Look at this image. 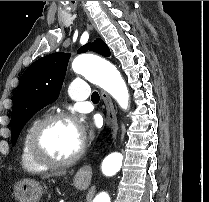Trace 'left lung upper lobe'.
I'll list each match as a JSON object with an SVG mask.
<instances>
[{
  "mask_svg": "<svg viewBox=\"0 0 209 202\" xmlns=\"http://www.w3.org/2000/svg\"><path fill=\"white\" fill-rule=\"evenodd\" d=\"M88 50L110 56L103 40L82 46L78 53ZM70 54L57 52L44 56L32 63L23 73L16 91L11 114V141L15 145L26 122L40 109L53 103L59 96L65 78Z\"/></svg>",
  "mask_w": 209,
  "mask_h": 202,
  "instance_id": "1",
  "label": "left lung upper lobe"
}]
</instances>
